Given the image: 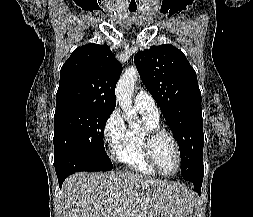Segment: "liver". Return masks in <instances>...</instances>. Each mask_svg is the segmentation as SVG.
I'll list each match as a JSON object with an SVG mask.
<instances>
[{"mask_svg": "<svg viewBox=\"0 0 253 217\" xmlns=\"http://www.w3.org/2000/svg\"><path fill=\"white\" fill-rule=\"evenodd\" d=\"M62 191L64 217H179L192 210L185 186L130 172L73 174Z\"/></svg>", "mask_w": 253, "mask_h": 217, "instance_id": "6515ba94", "label": "liver"}]
</instances>
